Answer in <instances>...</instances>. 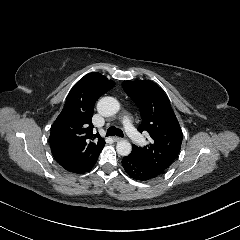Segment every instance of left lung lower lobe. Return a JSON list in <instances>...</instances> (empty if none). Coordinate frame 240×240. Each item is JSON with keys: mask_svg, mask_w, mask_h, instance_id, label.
Returning <instances> with one entry per match:
<instances>
[{"mask_svg": "<svg viewBox=\"0 0 240 240\" xmlns=\"http://www.w3.org/2000/svg\"><path fill=\"white\" fill-rule=\"evenodd\" d=\"M122 165L128 175L138 181H147L155 178L165 170L148 164L132 153L123 158Z\"/></svg>", "mask_w": 240, "mask_h": 240, "instance_id": "left-lung-lower-lobe-1", "label": "left lung lower lobe"}]
</instances>
